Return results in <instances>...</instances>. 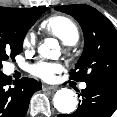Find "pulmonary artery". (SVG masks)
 <instances>
[{"instance_id":"pulmonary-artery-1","label":"pulmonary artery","mask_w":117,"mask_h":117,"mask_svg":"<svg viewBox=\"0 0 117 117\" xmlns=\"http://www.w3.org/2000/svg\"><path fill=\"white\" fill-rule=\"evenodd\" d=\"M86 86H87L86 83H81L80 88H81V89H85Z\"/></svg>"}]
</instances>
